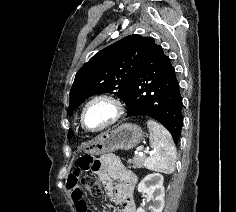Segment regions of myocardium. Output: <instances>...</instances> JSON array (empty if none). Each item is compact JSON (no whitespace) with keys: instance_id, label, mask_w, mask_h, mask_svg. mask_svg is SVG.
I'll list each match as a JSON object with an SVG mask.
<instances>
[{"instance_id":"obj_1","label":"myocardium","mask_w":236,"mask_h":212,"mask_svg":"<svg viewBox=\"0 0 236 212\" xmlns=\"http://www.w3.org/2000/svg\"><path fill=\"white\" fill-rule=\"evenodd\" d=\"M106 103L107 105L110 106L111 108V115L109 117V119L102 124L100 127L98 128H89L85 125V121H84V117H85V113L87 111V109L95 104V103ZM124 113V106L122 104V102L115 96L110 95V94H97L93 97H91L89 100H87L85 102V104L83 105L81 112H80V123L82 128L87 131V132H100L103 131L105 129H107L108 127L114 125L115 123H117L120 118L122 117Z\"/></svg>"}]
</instances>
